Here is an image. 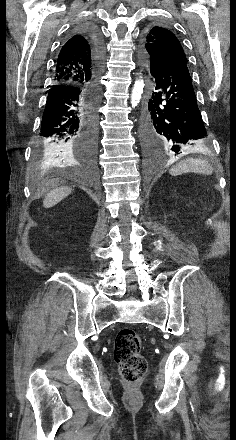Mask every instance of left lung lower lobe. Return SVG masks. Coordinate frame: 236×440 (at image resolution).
Returning <instances> with one entry per match:
<instances>
[{"label": "left lung lower lobe", "instance_id": "obj_1", "mask_svg": "<svg viewBox=\"0 0 236 440\" xmlns=\"http://www.w3.org/2000/svg\"><path fill=\"white\" fill-rule=\"evenodd\" d=\"M153 90L147 100L142 138L153 156L180 153L208 141L187 64L179 58L150 65Z\"/></svg>", "mask_w": 236, "mask_h": 440}]
</instances>
